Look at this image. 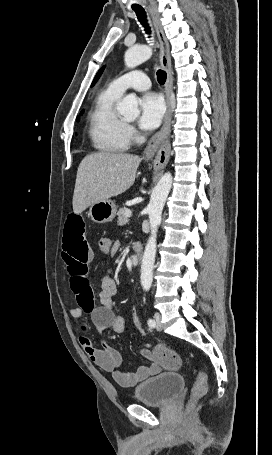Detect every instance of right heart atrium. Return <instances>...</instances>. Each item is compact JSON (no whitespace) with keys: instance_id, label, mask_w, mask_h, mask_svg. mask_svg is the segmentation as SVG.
<instances>
[{"instance_id":"1","label":"right heart atrium","mask_w":272,"mask_h":455,"mask_svg":"<svg viewBox=\"0 0 272 455\" xmlns=\"http://www.w3.org/2000/svg\"><path fill=\"white\" fill-rule=\"evenodd\" d=\"M128 134L130 138L136 139L137 138V133L135 129L131 126H128Z\"/></svg>"}]
</instances>
